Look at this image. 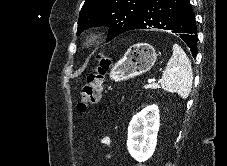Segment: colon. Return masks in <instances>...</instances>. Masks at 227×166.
Listing matches in <instances>:
<instances>
[{
	"label": "colon",
	"instance_id": "colon-1",
	"mask_svg": "<svg viewBox=\"0 0 227 166\" xmlns=\"http://www.w3.org/2000/svg\"><path fill=\"white\" fill-rule=\"evenodd\" d=\"M106 68V63H101L100 66L88 76L87 81L82 85L80 100L77 106L80 111H86L90 106L99 102Z\"/></svg>",
	"mask_w": 227,
	"mask_h": 166
}]
</instances>
